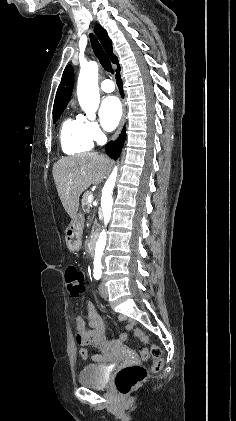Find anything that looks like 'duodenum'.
Instances as JSON below:
<instances>
[{
	"label": "duodenum",
	"instance_id": "410a0bca",
	"mask_svg": "<svg viewBox=\"0 0 236 421\" xmlns=\"http://www.w3.org/2000/svg\"><path fill=\"white\" fill-rule=\"evenodd\" d=\"M98 238V233L94 232L89 240V252L93 254L96 242ZM104 331L102 329H96V330H86L85 325L81 326L79 328L78 332V338L82 345H87L88 343L92 342L94 344H97L100 346L101 354L95 355L93 357L96 361H110L113 360L114 356L109 352L110 344L109 343H102ZM93 336L94 340L91 341L89 337ZM125 339V335L121 337V341Z\"/></svg>",
	"mask_w": 236,
	"mask_h": 421
}]
</instances>
